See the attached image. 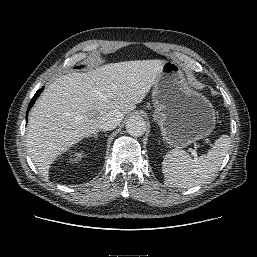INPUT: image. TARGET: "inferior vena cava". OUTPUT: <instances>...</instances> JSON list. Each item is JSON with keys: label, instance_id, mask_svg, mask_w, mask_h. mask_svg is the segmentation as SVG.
Returning <instances> with one entry per match:
<instances>
[{"label": "inferior vena cava", "instance_id": "obj_1", "mask_svg": "<svg viewBox=\"0 0 257 257\" xmlns=\"http://www.w3.org/2000/svg\"><path fill=\"white\" fill-rule=\"evenodd\" d=\"M122 119L123 114L120 111L112 110L100 117L97 127L102 130H112L120 124Z\"/></svg>", "mask_w": 257, "mask_h": 257}]
</instances>
